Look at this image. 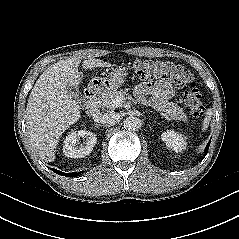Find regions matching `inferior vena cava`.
I'll return each instance as SVG.
<instances>
[{
  "label": "inferior vena cava",
  "instance_id": "602c4592",
  "mask_svg": "<svg viewBox=\"0 0 239 239\" xmlns=\"http://www.w3.org/2000/svg\"><path fill=\"white\" fill-rule=\"evenodd\" d=\"M116 120V115L113 112L109 113H100L95 117V121L100 122L102 124H111Z\"/></svg>",
  "mask_w": 239,
  "mask_h": 239
}]
</instances>
